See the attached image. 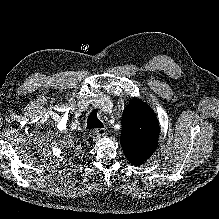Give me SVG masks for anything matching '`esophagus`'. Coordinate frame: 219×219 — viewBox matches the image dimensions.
Masks as SVG:
<instances>
[{"instance_id": "34e87169", "label": "esophagus", "mask_w": 219, "mask_h": 219, "mask_svg": "<svg viewBox=\"0 0 219 219\" xmlns=\"http://www.w3.org/2000/svg\"><path fill=\"white\" fill-rule=\"evenodd\" d=\"M94 132L97 136H105L107 133V129H106V127L98 128V129H95Z\"/></svg>"}]
</instances>
